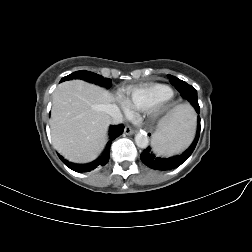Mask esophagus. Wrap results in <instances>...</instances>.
<instances>
[{
	"label": "esophagus",
	"instance_id": "1",
	"mask_svg": "<svg viewBox=\"0 0 252 252\" xmlns=\"http://www.w3.org/2000/svg\"><path fill=\"white\" fill-rule=\"evenodd\" d=\"M124 133L126 135H133L134 134V130L130 126H125Z\"/></svg>",
	"mask_w": 252,
	"mask_h": 252
}]
</instances>
